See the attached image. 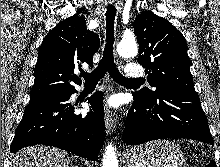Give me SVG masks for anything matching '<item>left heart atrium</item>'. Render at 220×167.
<instances>
[{"label":"left heart atrium","mask_w":220,"mask_h":167,"mask_svg":"<svg viewBox=\"0 0 220 167\" xmlns=\"http://www.w3.org/2000/svg\"><path fill=\"white\" fill-rule=\"evenodd\" d=\"M109 103H110V105L113 106V107H116V106H117V101H116L115 99H111Z\"/></svg>","instance_id":"39dd6f15"}]
</instances>
